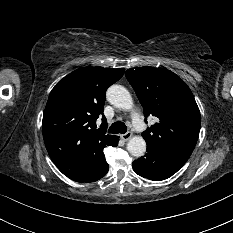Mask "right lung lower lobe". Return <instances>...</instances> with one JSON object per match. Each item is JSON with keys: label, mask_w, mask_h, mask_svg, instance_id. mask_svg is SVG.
Masks as SVG:
<instances>
[{"label": "right lung lower lobe", "mask_w": 233, "mask_h": 233, "mask_svg": "<svg viewBox=\"0 0 233 233\" xmlns=\"http://www.w3.org/2000/svg\"><path fill=\"white\" fill-rule=\"evenodd\" d=\"M118 137L112 146L118 145ZM59 170L73 181L90 183L104 177L108 172V164L102 152L94 159L81 160L75 163L58 166Z\"/></svg>", "instance_id": "right-lung-lower-lobe-1"}]
</instances>
